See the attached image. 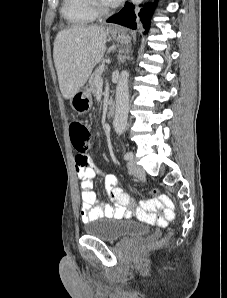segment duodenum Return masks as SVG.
<instances>
[{"label":"duodenum","mask_w":227,"mask_h":298,"mask_svg":"<svg viewBox=\"0 0 227 298\" xmlns=\"http://www.w3.org/2000/svg\"><path fill=\"white\" fill-rule=\"evenodd\" d=\"M116 113V103L115 102H110L108 106V116L110 118H113Z\"/></svg>","instance_id":"obj_1"}]
</instances>
